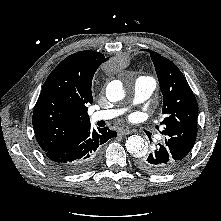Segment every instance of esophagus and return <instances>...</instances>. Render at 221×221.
<instances>
[{"label": "esophagus", "instance_id": "34e87169", "mask_svg": "<svg viewBox=\"0 0 221 221\" xmlns=\"http://www.w3.org/2000/svg\"><path fill=\"white\" fill-rule=\"evenodd\" d=\"M118 133H119V135L124 136V135H129V134H131L132 131L129 130V129H120Z\"/></svg>", "mask_w": 221, "mask_h": 221}]
</instances>
